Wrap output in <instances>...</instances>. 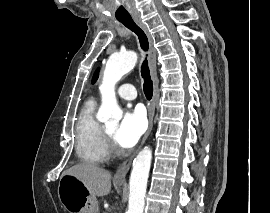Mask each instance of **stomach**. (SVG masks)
<instances>
[{
  "mask_svg": "<svg viewBox=\"0 0 270 213\" xmlns=\"http://www.w3.org/2000/svg\"><path fill=\"white\" fill-rule=\"evenodd\" d=\"M58 197L69 213H98L99 204L85 184L72 175H63L58 185Z\"/></svg>",
  "mask_w": 270,
  "mask_h": 213,
  "instance_id": "0dacf381",
  "label": "stomach"
}]
</instances>
